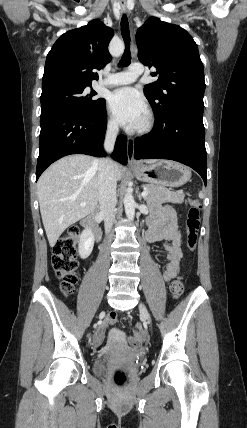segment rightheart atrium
Segmentation results:
<instances>
[{"label": "right heart atrium", "instance_id": "right-heart-atrium-1", "mask_svg": "<svg viewBox=\"0 0 247 428\" xmlns=\"http://www.w3.org/2000/svg\"><path fill=\"white\" fill-rule=\"evenodd\" d=\"M107 128L111 132H116L118 129V124L112 117H109L107 120Z\"/></svg>", "mask_w": 247, "mask_h": 428}]
</instances>
